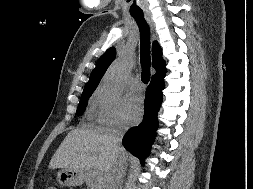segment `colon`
<instances>
[{
    "instance_id": "1",
    "label": "colon",
    "mask_w": 253,
    "mask_h": 189,
    "mask_svg": "<svg viewBox=\"0 0 253 189\" xmlns=\"http://www.w3.org/2000/svg\"><path fill=\"white\" fill-rule=\"evenodd\" d=\"M47 189H56L55 187H48Z\"/></svg>"
}]
</instances>
